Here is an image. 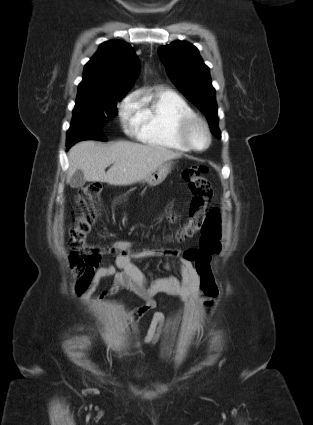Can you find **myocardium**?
Returning a JSON list of instances; mask_svg holds the SVG:
<instances>
[{
    "mask_svg": "<svg viewBox=\"0 0 313 425\" xmlns=\"http://www.w3.org/2000/svg\"><path fill=\"white\" fill-rule=\"evenodd\" d=\"M196 126L202 127L207 139L206 145L201 148L197 147L191 140V132ZM178 137L185 146H187L190 150L193 151L206 150L210 146L212 140L211 131L208 123L203 118L197 115H192L181 119L178 126Z\"/></svg>",
    "mask_w": 313,
    "mask_h": 425,
    "instance_id": "obj_1",
    "label": "myocardium"
}]
</instances>
